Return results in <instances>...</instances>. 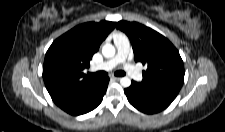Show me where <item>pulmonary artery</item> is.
<instances>
[{"instance_id":"pulmonary-artery-1","label":"pulmonary artery","mask_w":225,"mask_h":132,"mask_svg":"<svg viewBox=\"0 0 225 132\" xmlns=\"http://www.w3.org/2000/svg\"><path fill=\"white\" fill-rule=\"evenodd\" d=\"M115 46L117 48V54L114 58L100 63L98 65L93 66L91 69L101 70V71H108L114 68L116 65L120 63H124L129 55L130 52V41L126 36H120L114 39ZM125 70L130 74L131 77L140 81L142 80L141 73L134 68L131 64L124 65Z\"/></svg>"}]
</instances>
